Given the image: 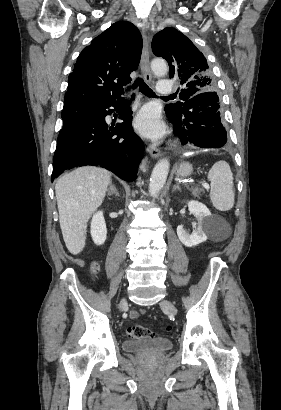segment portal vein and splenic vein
<instances>
[{"instance_id": "1", "label": "portal vein and splenic vein", "mask_w": 281, "mask_h": 410, "mask_svg": "<svg viewBox=\"0 0 281 410\" xmlns=\"http://www.w3.org/2000/svg\"><path fill=\"white\" fill-rule=\"evenodd\" d=\"M202 186L206 189H209V185L207 183H202Z\"/></svg>"}]
</instances>
